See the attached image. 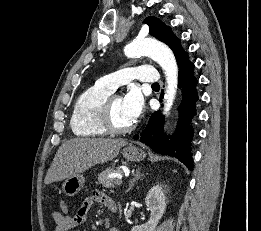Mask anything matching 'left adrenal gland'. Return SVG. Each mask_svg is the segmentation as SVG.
Instances as JSON below:
<instances>
[{
  "label": "left adrenal gland",
  "instance_id": "1",
  "mask_svg": "<svg viewBox=\"0 0 261 231\" xmlns=\"http://www.w3.org/2000/svg\"><path fill=\"white\" fill-rule=\"evenodd\" d=\"M144 177V174L141 173V168H138V170L136 171V174L134 176V178L129 182V187L128 189L126 190V193H128L132 188L133 186L135 185V183L140 180L141 178Z\"/></svg>",
  "mask_w": 261,
  "mask_h": 231
}]
</instances>
